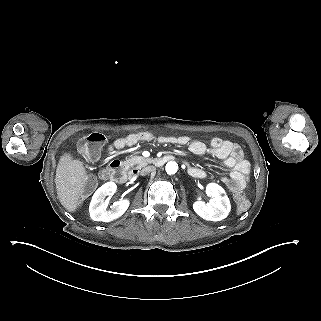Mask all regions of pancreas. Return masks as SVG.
Returning <instances> with one entry per match:
<instances>
[{
  "label": "pancreas",
  "mask_w": 321,
  "mask_h": 321,
  "mask_svg": "<svg viewBox=\"0 0 321 321\" xmlns=\"http://www.w3.org/2000/svg\"><path fill=\"white\" fill-rule=\"evenodd\" d=\"M149 163H152V160L138 155H131L130 158L125 161V168L128 169L131 167L141 169L146 167Z\"/></svg>",
  "instance_id": "cf45deb5"
}]
</instances>
